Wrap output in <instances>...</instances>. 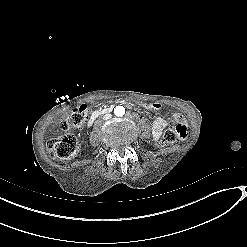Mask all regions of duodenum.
<instances>
[{
    "label": "duodenum",
    "mask_w": 247,
    "mask_h": 247,
    "mask_svg": "<svg viewBox=\"0 0 247 247\" xmlns=\"http://www.w3.org/2000/svg\"><path fill=\"white\" fill-rule=\"evenodd\" d=\"M112 110H113L112 107H107V108L96 110V111L92 112L88 118V125L89 126L92 125L97 118H99L102 115H105V114L112 112Z\"/></svg>",
    "instance_id": "duodenum-1"
}]
</instances>
